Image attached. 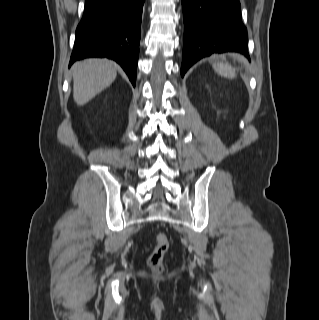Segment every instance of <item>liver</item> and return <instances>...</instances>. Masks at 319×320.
<instances>
[{"instance_id":"liver-1","label":"liver","mask_w":319,"mask_h":320,"mask_svg":"<svg viewBox=\"0 0 319 320\" xmlns=\"http://www.w3.org/2000/svg\"><path fill=\"white\" fill-rule=\"evenodd\" d=\"M72 73L73 98L82 106L112 84L117 68L107 59L90 58L75 63Z\"/></svg>"}]
</instances>
